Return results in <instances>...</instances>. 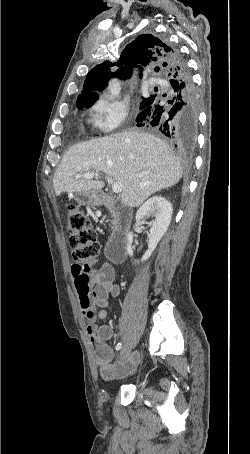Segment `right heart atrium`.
Returning a JSON list of instances; mask_svg holds the SVG:
<instances>
[{"instance_id": "right-heart-atrium-1", "label": "right heart atrium", "mask_w": 250, "mask_h": 454, "mask_svg": "<svg viewBox=\"0 0 250 454\" xmlns=\"http://www.w3.org/2000/svg\"><path fill=\"white\" fill-rule=\"evenodd\" d=\"M129 115V106L126 102L109 100L97 104V114L94 125L102 132L118 131Z\"/></svg>"}]
</instances>
